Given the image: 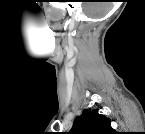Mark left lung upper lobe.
<instances>
[{"label":"left lung upper lobe","instance_id":"5c2ea615","mask_svg":"<svg viewBox=\"0 0 145 134\" xmlns=\"http://www.w3.org/2000/svg\"><path fill=\"white\" fill-rule=\"evenodd\" d=\"M71 134H115L111 127L109 118L98 113L97 109H85L82 115L78 116L74 122Z\"/></svg>","mask_w":145,"mask_h":134}]
</instances>
